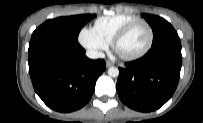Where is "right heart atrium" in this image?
I'll return each instance as SVG.
<instances>
[{
    "mask_svg": "<svg viewBox=\"0 0 203 123\" xmlns=\"http://www.w3.org/2000/svg\"><path fill=\"white\" fill-rule=\"evenodd\" d=\"M78 39L80 44L94 56H101L108 49V43L93 28L83 27Z\"/></svg>",
    "mask_w": 203,
    "mask_h": 123,
    "instance_id": "1",
    "label": "right heart atrium"
}]
</instances>
